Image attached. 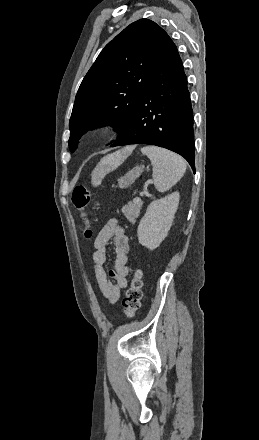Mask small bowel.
Returning <instances> with one entry per match:
<instances>
[{
	"mask_svg": "<svg viewBox=\"0 0 259 440\" xmlns=\"http://www.w3.org/2000/svg\"><path fill=\"white\" fill-rule=\"evenodd\" d=\"M111 246L115 252L113 268L106 271L107 247ZM129 241L122 227L116 219H110L98 232L94 240L92 255V270L103 296L110 302L116 303L120 298L121 290L128 285L127 276Z\"/></svg>",
	"mask_w": 259,
	"mask_h": 440,
	"instance_id": "small-bowel-1",
	"label": "small bowel"
}]
</instances>
